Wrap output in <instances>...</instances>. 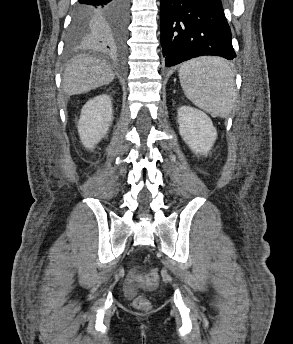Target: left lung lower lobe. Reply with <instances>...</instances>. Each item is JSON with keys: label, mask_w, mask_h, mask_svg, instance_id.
<instances>
[{"label": "left lung lower lobe", "mask_w": 293, "mask_h": 344, "mask_svg": "<svg viewBox=\"0 0 293 344\" xmlns=\"http://www.w3.org/2000/svg\"><path fill=\"white\" fill-rule=\"evenodd\" d=\"M166 67L194 57H236L221 0H160Z\"/></svg>", "instance_id": "left-lung-lower-lobe-1"}]
</instances>
